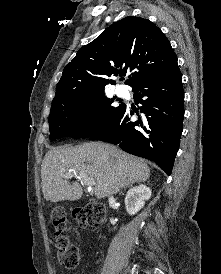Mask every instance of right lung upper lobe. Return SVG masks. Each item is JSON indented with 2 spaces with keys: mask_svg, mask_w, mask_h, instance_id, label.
I'll return each mask as SVG.
<instances>
[{
  "mask_svg": "<svg viewBox=\"0 0 221 274\" xmlns=\"http://www.w3.org/2000/svg\"><path fill=\"white\" fill-rule=\"evenodd\" d=\"M177 59L169 40L150 20L128 16L83 46L64 68L53 103L104 93L107 77L130 73L133 87Z\"/></svg>",
  "mask_w": 221,
  "mask_h": 274,
  "instance_id": "cb5924a9",
  "label": "right lung upper lobe"
}]
</instances>
